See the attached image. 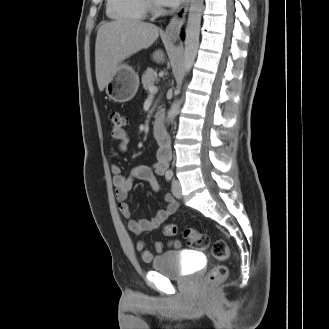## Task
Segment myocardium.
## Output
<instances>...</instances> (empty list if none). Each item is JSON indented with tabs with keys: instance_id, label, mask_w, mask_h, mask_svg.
Returning <instances> with one entry per match:
<instances>
[{
	"instance_id": "obj_1",
	"label": "myocardium",
	"mask_w": 329,
	"mask_h": 329,
	"mask_svg": "<svg viewBox=\"0 0 329 329\" xmlns=\"http://www.w3.org/2000/svg\"><path fill=\"white\" fill-rule=\"evenodd\" d=\"M144 6L152 16H158L163 13V7L157 0H143Z\"/></svg>"
}]
</instances>
